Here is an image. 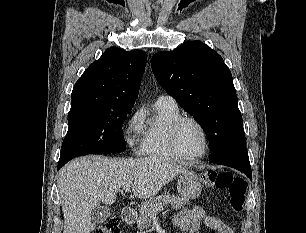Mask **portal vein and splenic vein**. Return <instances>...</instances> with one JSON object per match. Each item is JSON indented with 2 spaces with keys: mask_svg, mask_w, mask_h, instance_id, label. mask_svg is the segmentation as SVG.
<instances>
[{
  "mask_svg": "<svg viewBox=\"0 0 306 233\" xmlns=\"http://www.w3.org/2000/svg\"><path fill=\"white\" fill-rule=\"evenodd\" d=\"M123 189L125 190V192H128L131 189V185L130 184H126V185L123 186ZM159 209L161 211L163 209V207H160ZM159 209H157L156 212H158ZM156 212H154V213H156Z\"/></svg>",
  "mask_w": 306,
  "mask_h": 233,
  "instance_id": "18ae733b",
  "label": "portal vein and splenic vein"
}]
</instances>
